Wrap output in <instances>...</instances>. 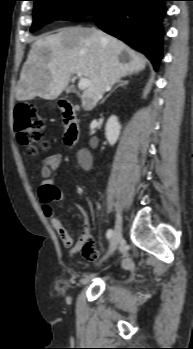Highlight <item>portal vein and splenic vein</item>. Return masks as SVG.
<instances>
[{"instance_id":"portal-vein-and-splenic-vein-1","label":"portal vein and splenic vein","mask_w":193,"mask_h":349,"mask_svg":"<svg viewBox=\"0 0 193 349\" xmlns=\"http://www.w3.org/2000/svg\"><path fill=\"white\" fill-rule=\"evenodd\" d=\"M77 76L80 77V80L78 82V88L80 90H84L91 85V81L88 78L82 77L81 73H77Z\"/></svg>"}]
</instances>
